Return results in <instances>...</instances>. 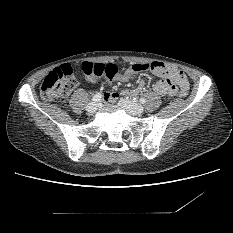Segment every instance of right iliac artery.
<instances>
[{"label":"right iliac artery","instance_id":"82829eb1","mask_svg":"<svg viewBox=\"0 0 233 233\" xmlns=\"http://www.w3.org/2000/svg\"><path fill=\"white\" fill-rule=\"evenodd\" d=\"M101 100V94L97 93L92 97V101L99 102Z\"/></svg>","mask_w":233,"mask_h":233}]
</instances>
